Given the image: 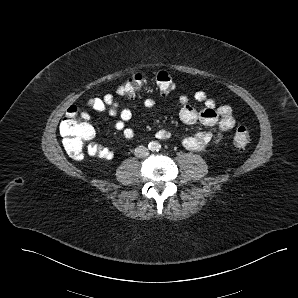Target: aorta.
Wrapping results in <instances>:
<instances>
[{"instance_id": "1", "label": "aorta", "mask_w": 298, "mask_h": 298, "mask_svg": "<svg viewBox=\"0 0 298 298\" xmlns=\"http://www.w3.org/2000/svg\"><path fill=\"white\" fill-rule=\"evenodd\" d=\"M157 148H160V145L157 142H150L149 149L155 151Z\"/></svg>"}]
</instances>
